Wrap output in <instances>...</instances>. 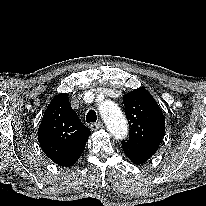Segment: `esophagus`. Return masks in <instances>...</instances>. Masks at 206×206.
<instances>
[{"label": "esophagus", "mask_w": 206, "mask_h": 206, "mask_svg": "<svg viewBox=\"0 0 206 206\" xmlns=\"http://www.w3.org/2000/svg\"><path fill=\"white\" fill-rule=\"evenodd\" d=\"M101 127H102V122L101 121L94 122L90 125V128H91L92 131H96Z\"/></svg>", "instance_id": "esophagus-1"}]
</instances>
